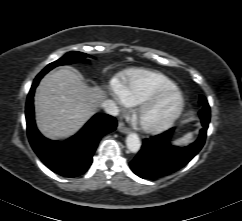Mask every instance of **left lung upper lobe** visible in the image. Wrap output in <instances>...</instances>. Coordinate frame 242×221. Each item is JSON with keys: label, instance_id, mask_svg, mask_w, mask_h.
I'll use <instances>...</instances> for the list:
<instances>
[{"label": "left lung upper lobe", "instance_id": "1", "mask_svg": "<svg viewBox=\"0 0 242 221\" xmlns=\"http://www.w3.org/2000/svg\"><path fill=\"white\" fill-rule=\"evenodd\" d=\"M199 103L203 106L202 110H200L199 115L200 118L206 113V110L208 109V103L207 100L203 97H200Z\"/></svg>", "mask_w": 242, "mask_h": 221}]
</instances>
